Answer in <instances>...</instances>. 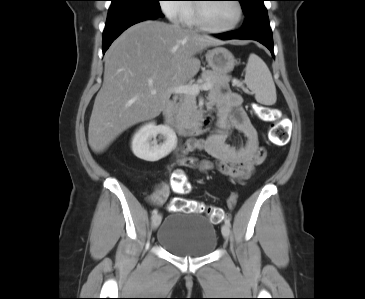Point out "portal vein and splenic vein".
<instances>
[{"instance_id": "18ae733b", "label": "portal vein and splenic vein", "mask_w": 365, "mask_h": 299, "mask_svg": "<svg viewBox=\"0 0 365 299\" xmlns=\"http://www.w3.org/2000/svg\"><path fill=\"white\" fill-rule=\"evenodd\" d=\"M211 84L209 83H204V84H193V85H179L177 87H175L172 92L176 93V94H188V95H193L196 96L199 94L200 90H210L211 89ZM151 94L155 95L156 94V90H152Z\"/></svg>"}]
</instances>
